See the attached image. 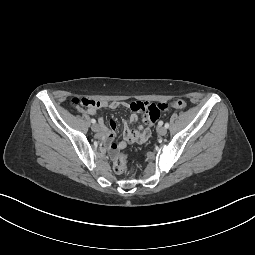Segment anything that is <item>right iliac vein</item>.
Here are the masks:
<instances>
[{
    "mask_svg": "<svg viewBox=\"0 0 255 255\" xmlns=\"http://www.w3.org/2000/svg\"><path fill=\"white\" fill-rule=\"evenodd\" d=\"M91 129L94 131V132H98L99 131V125L98 124H93Z\"/></svg>",
    "mask_w": 255,
    "mask_h": 255,
    "instance_id": "obj_1",
    "label": "right iliac vein"
}]
</instances>
